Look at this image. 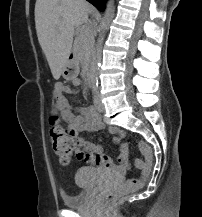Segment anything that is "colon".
Instances as JSON below:
<instances>
[{"label":"colon","mask_w":202,"mask_h":217,"mask_svg":"<svg viewBox=\"0 0 202 217\" xmlns=\"http://www.w3.org/2000/svg\"><path fill=\"white\" fill-rule=\"evenodd\" d=\"M50 130L49 137L53 153L58 157L63 166H68L72 157L81 159L83 152L78 149L73 137L67 132L56 114H52L49 118ZM139 148L145 157V161L136 158L134 164L141 171L139 178H131L121 185L117 186L113 191L109 192L102 203L106 206H112L118 199L127 192L139 189L146 180L151 176L153 167V150L145 142H139Z\"/></svg>","instance_id":"colon-1"}]
</instances>
